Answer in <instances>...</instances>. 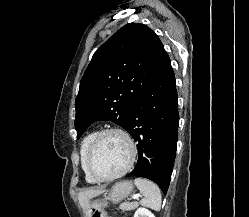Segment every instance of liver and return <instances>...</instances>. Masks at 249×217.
<instances>
[{
	"mask_svg": "<svg viewBox=\"0 0 249 217\" xmlns=\"http://www.w3.org/2000/svg\"><path fill=\"white\" fill-rule=\"evenodd\" d=\"M104 191L101 189H91V190H86L83 192H80L78 194V200L82 208L89 214L90 212V199L102 194Z\"/></svg>",
	"mask_w": 249,
	"mask_h": 217,
	"instance_id": "6515ba94",
	"label": "liver"
}]
</instances>
